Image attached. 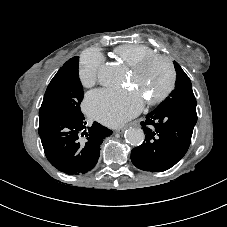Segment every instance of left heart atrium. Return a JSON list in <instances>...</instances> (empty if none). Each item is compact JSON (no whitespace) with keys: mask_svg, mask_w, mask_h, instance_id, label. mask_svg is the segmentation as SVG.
Wrapping results in <instances>:
<instances>
[{"mask_svg":"<svg viewBox=\"0 0 227 227\" xmlns=\"http://www.w3.org/2000/svg\"><path fill=\"white\" fill-rule=\"evenodd\" d=\"M84 106L93 118L109 126H120L141 111L144 98L132 91L98 89L87 95Z\"/></svg>","mask_w":227,"mask_h":227,"instance_id":"1","label":"left heart atrium"}]
</instances>
